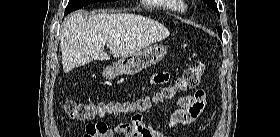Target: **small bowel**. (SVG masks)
Masks as SVG:
<instances>
[{
    "label": "small bowel",
    "instance_id": "1",
    "mask_svg": "<svg viewBox=\"0 0 280 137\" xmlns=\"http://www.w3.org/2000/svg\"><path fill=\"white\" fill-rule=\"evenodd\" d=\"M169 80L166 73H157L151 77L153 84H163ZM206 105V92L198 88L191 95L180 97L176 102V109L170 114L166 130H158L153 120L144 122L141 114L131 117L129 123H120L115 128H109L105 122L88 123L83 137H116L118 134L135 133L137 137H170V131L180 125L196 122Z\"/></svg>",
    "mask_w": 280,
    "mask_h": 137
}]
</instances>
